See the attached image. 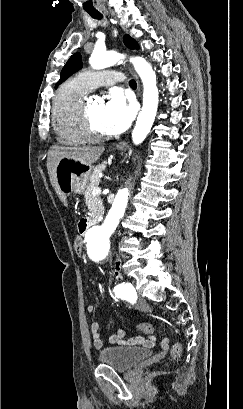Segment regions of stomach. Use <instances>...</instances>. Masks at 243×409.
<instances>
[{"mask_svg":"<svg viewBox=\"0 0 243 409\" xmlns=\"http://www.w3.org/2000/svg\"><path fill=\"white\" fill-rule=\"evenodd\" d=\"M57 186L65 194L84 193L92 166L73 158L62 157L56 167Z\"/></svg>","mask_w":243,"mask_h":409,"instance_id":"obj_1","label":"stomach"}]
</instances>
